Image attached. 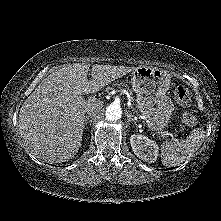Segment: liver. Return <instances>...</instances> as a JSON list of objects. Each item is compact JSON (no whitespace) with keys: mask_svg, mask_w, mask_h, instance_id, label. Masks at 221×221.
Segmentation results:
<instances>
[{"mask_svg":"<svg viewBox=\"0 0 221 221\" xmlns=\"http://www.w3.org/2000/svg\"><path fill=\"white\" fill-rule=\"evenodd\" d=\"M135 68L126 66L67 64L55 70L36 87L19 114V134L28 150L49 163L65 162L78 152L84 129L85 111L101 104L96 93Z\"/></svg>","mask_w":221,"mask_h":221,"instance_id":"liver-1","label":"liver"}]
</instances>
